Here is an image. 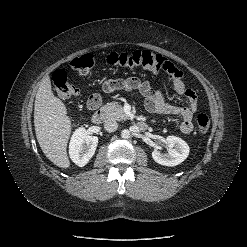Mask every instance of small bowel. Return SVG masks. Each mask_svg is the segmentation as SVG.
<instances>
[{"label": "small bowel", "mask_w": 247, "mask_h": 247, "mask_svg": "<svg viewBox=\"0 0 247 247\" xmlns=\"http://www.w3.org/2000/svg\"><path fill=\"white\" fill-rule=\"evenodd\" d=\"M103 88L106 92L121 89L128 92H138L144 99V105L148 112L178 117L180 119L179 128L182 133L188 135L193 131L192 119L198 110V98L196 92L186 86L182 77L174 79L175 92L178 95L185 96L189 101L188 106L182 107L167 103L161 92L153 89L149 81L135 77L107 80L103 84ZM100 104V94H93L87 103L90 109H95Z\"/></svg>", "instance_id": "obj_1"}]
</instances>
